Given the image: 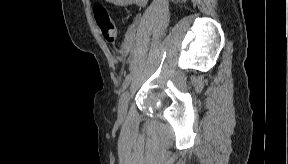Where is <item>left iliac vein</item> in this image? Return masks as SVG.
I'll list each match as a JSON object with an SVG mask.
<instances>
[{
  "mask_svg": "<svg viewBox=\"0 0 288 164\" xmlns=\"http://www.w3.org/2000/svg\"><path fill=\"white\" fill-rule=\"evenodd\" d=\"M128 104H129V91L127 90L121 95L118 103V117L120 119L126 117L128 111Z\"/></svg>",
  "mask_w": 288,
  "mask_h": 164,
  "instance_id": "obj_1",
  "label": "left iliac vein"
}]
</instances>
